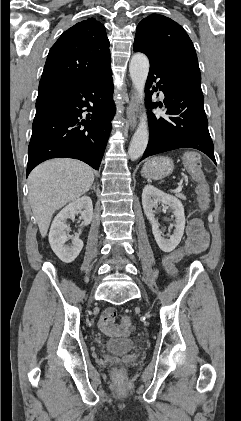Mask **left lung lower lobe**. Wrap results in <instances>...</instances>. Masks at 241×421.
Segmentation results:
<instances>
[{
	"instance_id": "1",
	"label": "left lung lower lobe",
	"mask_w": 241,
	"mask_h": 421,
	"mask_svg": "<svg viewBox=\"0 0 241 421\" xmlns=\"http://www.w3.org/2000/svg\"><path fill=\"white\" fill-rule=\"evenodd\" d=\"M135 52H142L134 47ZM150 71L146 82L148 108L166 109L165 117L148 113L150 139L140 159L178 148H194L215 163L214 145L208 130L201 90V75L189 68L168 65L149 58ZM155 87L153 84L156 82ZM161 90L164 104L151 102L153 91Z\"/></svg>"
}]
</instances>
